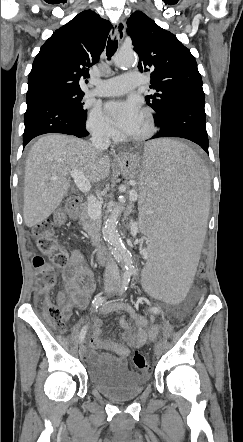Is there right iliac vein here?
<instances>
[{"instance_id":"63e3f726","label":"right iliac vein","mask_w":243,"mask_h":442,"mask_svg":"<svg viewBox=\"0 0 243 442\" xmlns=\"http://www.w3.org/2000/svg\"><path fill=\"white\" fill-rule=\"evenodd\" d=\"M114 290H115V286H114L113 284H106V285L104 286V288H103V294H104L105 296H107V295H109L111 292H113ZM79 354H80V357H81V358L85 357V355H86V347H85L84 343H82V344L80 345V348H79Z\"/></svg>"}]
</instances>
